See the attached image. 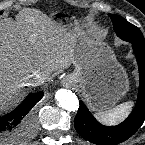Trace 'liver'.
Segmentation results:
<instances>
[{
	"label": "liver",
	"mask_w": 145,
	"mask_h": 145,
	"mask_svg": "<svg viewBox=\"0 0 145 145\" xmlns=\"http://www.w3.org/2000/svg\"><path fill=\"white\" fill-rule=\"evenodd\" d=\"M39 10L0 22V105L21 92L34 72H62L78 60L79 34Z\"/></svg>",
	"instance_id": "6515ba94"
}]
</instances>
